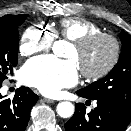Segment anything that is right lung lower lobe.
<instances>
[{"instance_id":"obj_1","label":"right lung lower lobe","mask_w":131,"mask_h":131,"mask_svg":"<svg viewBox=\"0 0 131 131\" xmlns=\"http://www.w3.org/2000/svg\"><path fill=\"white\" fill-rule=\"evenodd\" d=\"M37 100L38 96L28 87H21L13 100L3 99L0 94V131H25Z\"/></svg>"}]
</instances>
